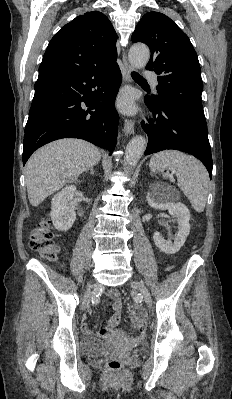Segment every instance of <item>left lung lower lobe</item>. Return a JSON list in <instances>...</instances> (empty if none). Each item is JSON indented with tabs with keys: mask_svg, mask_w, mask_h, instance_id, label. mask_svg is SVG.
<instances>
[{
	"mask_svg": "<svg viewBox=\"0 0 232 399\" xmlns=\"http://www.w3.org/2000/svg\"><path fill=\"white\" fill-rule=\"evenodd\" d=\"M145 103L152 112L142 128L148 135L145 155L166 149L179 150L198 158L212 178L213 161L208 140L207 124L200 122L180 105L167 99L145 96Z\"/></svg>",
	"mask_w": 232,
	"mask_h": 399,
	"instance_id": "0a47b994",
	"label": "left lung lower lobe"
}]
</instances>
